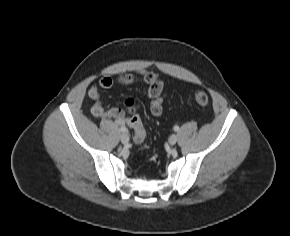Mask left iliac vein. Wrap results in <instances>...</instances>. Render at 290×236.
Masks as SVG:
<instances>
[{"mask_svg": "<svg viewBox=\"0 0 290 236\" xmlns=\"http://www.w3.org/2000/svg\"><path fill=\"white\" fill-rule=\"evenodd\" d=\"M178 140V136L176 134H172L169 138L170 145H175Z\"/></svg>", "mask_w": 290, "mask_h": 236, "instance_id": "1", "label": "left iliac vein"}]
</instances>
